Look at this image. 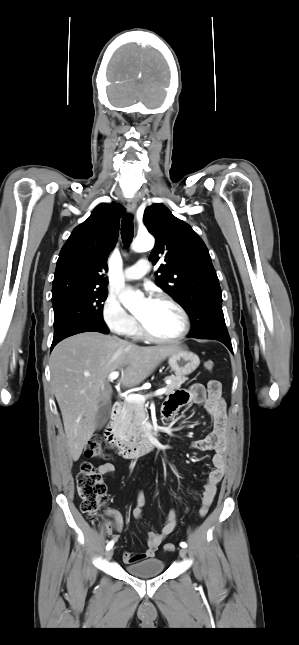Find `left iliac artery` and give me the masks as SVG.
I'll use <instances>...</instances> for the list:
<instances>
[{
	"mask_svg": "<svg viewBox=\"0 0 299 645\" xmlns=\"http://www.w3.org/2000/svg\"><path fill=\"white\" fill-rule=\"evenodd\" d=\"M180 546H181L182 548H186V547H187V544H186L185 542H181V543H180Z\"/></svg>",
	"mask_w": 299,
	"mask_h": 645,
	"instance_id": "1",
	"label": "left iliac artery"
}]
</instances>
